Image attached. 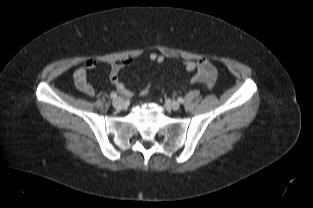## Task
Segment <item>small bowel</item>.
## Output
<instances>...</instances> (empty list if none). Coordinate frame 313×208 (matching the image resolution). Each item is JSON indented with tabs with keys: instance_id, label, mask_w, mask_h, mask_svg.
I'll list each match as a JSON object with an SVG mask.
<instances>
[{
	"instance_id": "c3829d8e",
	"label": "small bowel",
	"mask_w": 313,
	"mask_h": 208,
	"mask_svg": "<svg viewBox=\"0 0 313 208\" xmlns=\"http://www.w3.org/2000/svg\"><path fill=\"white\" fill-rule=\"evenodd\" d=\"M149 59L153 62L162 63L164 56L158 53H151ZM130 62V59H119L111 63L109 79L115 89L125 97H131L133 93L125 87V85L119 80V72ZM97 66L95 59H87L83 66L77 68L73 73L74 85L78 91L87 95L94 96L96 91L94 87L89 83L87 73L93 70ZM185 69L188 72H195L192 77V82L205 84L209 79L215 77V68L212 63L205 59H198L196 61L188 60L184 63Z\"/></svg>"
}]
</instances>
